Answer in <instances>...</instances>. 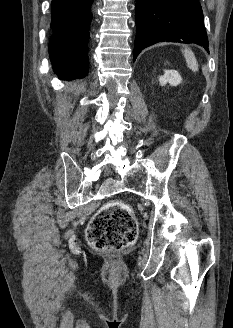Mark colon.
<instances>
[{
	"label": "colon",
	"instance_id": "1",
	"mask_svg": "<svg viewBox=\"0 0 233 328\" xmlns=\"http://www.w3.org/2000/svg\"><path fill=\"white\" fill-rule=\"evenodd\" d=\"M138 225L128 205L119 201L104 205L92 218L86 232L88 244L97 251H117L132 245Z\"/></svg>",
	"mask_w": 233,
	"mask_h": 328
}]
</instances>
